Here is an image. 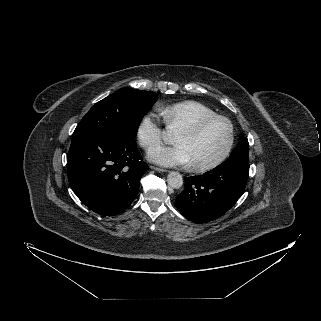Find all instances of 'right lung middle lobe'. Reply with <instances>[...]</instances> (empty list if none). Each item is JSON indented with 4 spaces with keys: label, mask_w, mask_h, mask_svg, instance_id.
Wrapping results in <instances>:
<instances>
[{
    "label": "right lung middle lobe",
    "mask_w": 321,
    "mask_h": 321,
    "mask_svg": "<svg viewBox=\"0 0 321 321\" xmlns=\"http://www.w3.org/2000/svg\"><path fill=\"white\" fill-rule=\"evenodd\" d=\"M155 92L122 88L97 102L82 118L72 138L86 134L135 139L139 123L156 101Z\"/></svg>",
    "instance_id": "1"
}]
</instances>
